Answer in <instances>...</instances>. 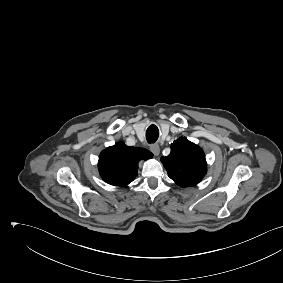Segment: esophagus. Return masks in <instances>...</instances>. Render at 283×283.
Wrapping results in <instances>:
<instances>
[{"mask_svg": "<svg viewBox=\"0 0 283 283\" xmlns=\"http://www.w3.org/2000/svg\"><path fill=\"white\" fill-rule=\"evenodd\" d=\"M150 150L155 156H158L160 153V148L157 144L151 145Z\"/></svg>", "mask_w": 283, "mask_h": 283, "instance_id": "1", "label": "esophagus"}]
</instances>
